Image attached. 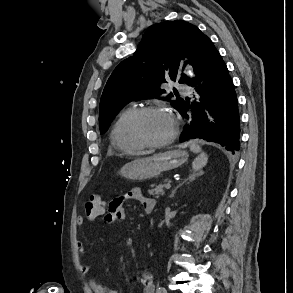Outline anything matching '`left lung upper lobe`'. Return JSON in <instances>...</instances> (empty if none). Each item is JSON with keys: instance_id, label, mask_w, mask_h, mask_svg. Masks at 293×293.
I'll list each match as a JSON object with an SVG mask.
<instances>
[{"instance_id": "5c2ea615", "label": "left lung upper lobe", "mask_w": 293, "mask_h": 293, "mask_svg": "<svg viewBox=\"0 0 293 293\" xmlns=\"http://www.w3.org/2000/svg\"><path fill=\"white\" fill-rule=\"evenodd\" d=\"M209 40L195 25L182 20L150 26L136 52L115 68L106 83L100 101V133H105L117 113L133 100L170 99L173 93L160 97L165 92L160 86L167 80H178L188 86L196 83ZM180 61L184 66H193L196 79L180 73ZM174 94L177 99L171 105L177 110L182 98L177 90Z\"/></svg>"}]
</instances>
